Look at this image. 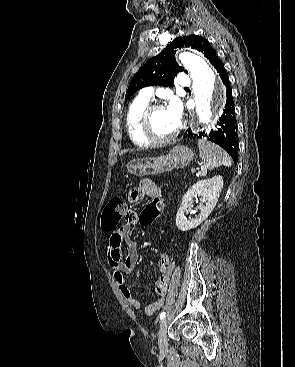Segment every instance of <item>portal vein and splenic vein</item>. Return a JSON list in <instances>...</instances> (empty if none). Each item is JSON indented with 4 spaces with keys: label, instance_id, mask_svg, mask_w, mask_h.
<instances>
[{
    "label": "portal vein and splenic vein",
    "instance_id": "obj_1",
    "mask_svg": "<svg viewBox=\"0 0 295 367\" xmlns=\"http://www.w3.org/2000/svg\"><path fill=\"white\" fill-rule=\"evenodd\" d=\"M191 172H192V173H195V172H196V170H195L194 168H192V169H191Z\"/></svg>",
    "mask_w": 295,
    "mask_h": 367
}]
</instances>
